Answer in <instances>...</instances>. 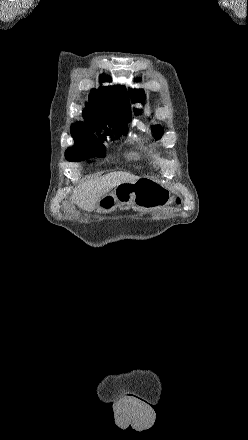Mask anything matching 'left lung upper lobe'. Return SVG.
<instances>
[{"label": "left lung upper lobe", "instance_id": "1", "mask_svg": "<svg viewBox=\"0 0 248 440\" xmlns=\"http://www.w3.org/2000/svg\"><path fill=\"white\" fill-rule=\"evenodd\" d=\"M129 93H130V97H131L133 103L134 102H142L145 100L144 91L141 89H139V90L130 89ZM134 111H135L136 115H138L140 113V110H138V109H134ZM152 132L154 133L155 138L159 139L161 137V135L163 134V129L161 128V126L156 125V126L152 127Z\"/></svg>", "mask_w": 248, "mask_h": 440}]
</instances>
